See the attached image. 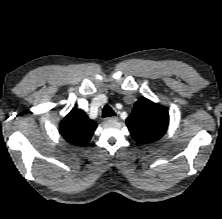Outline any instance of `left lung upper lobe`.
Masks as SVG:
<instances>
[{
    "label": "left lung upper lobe",
    "mask_w": 222,
    "mask_h": 219,
    "mask_svg": "<svg viewBox=\"0 0 222 219\" xmlns=\"http://www.w3.org/2000/svg\"><path fill=\"white\" fill-rule=\"evenodd\" d=\"M169 122L165 107L146 98H140L126 119L131 136L141 144L160 139L166 132Z\"/></svg>",
    "instance_id": "1"
}]
</instances>
